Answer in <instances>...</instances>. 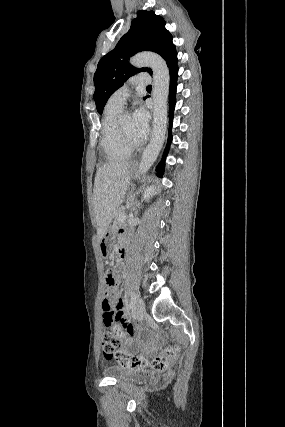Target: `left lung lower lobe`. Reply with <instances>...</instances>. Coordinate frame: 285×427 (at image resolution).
I'll use <instances>...</instances> for the list:
<instances>
[{
  "instance_id": "left-lung-lower-lobe-1",
  "label": "left lung lower lobe",
  "mask_w": 285,
  "mask_h": 427,
  "mask_svg": "<svg viewBox=\"0 0 285 427\" xmlns=\"http://www.w3.org/2000/svg\"><path fill=\"white\" fill-rule=\"evenodd\" d=\"M177 55L167 64L168 68H169V73H170V87H169V135H168V143L167 146L165 148L164 154H163V159L162 161L159 163V165L157 166V172H158V176L162 177V174L164 172V161L165 158L167 156L169 147H170V143L172 141V135H171V129H172V121H173V111H174V107H175V95H176V87H177V78H178V66H177Z\"/></svg>"
}]
</instances>
